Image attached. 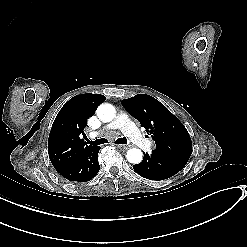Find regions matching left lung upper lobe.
I'll return each mask as SVG.
<instances>
[{"mask_svg": "<svg viewBox=\"0 0 247 247\" xmlns=\"http://www.w3.org/2000/svg\"><path fill=\"white\" fill-rule=\"evenodd\" d=\"M123 107L146 129L156 149L187 163L192 141L180 120L161 102L147 94L122 100Z\"/></svg>", "mask_w": 247, "mask_h": 247, "instance_id": "5c2ea615", "label": "left lung upper lobe"}]
</instances>
